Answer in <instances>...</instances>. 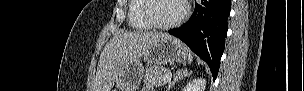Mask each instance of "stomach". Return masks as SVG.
Returning a JSON list of instances; mask_svg holds the SVG:
<instances>
[{
	"instance_id": "0dacf381",
	"label": "stomach",
	"mask_w": 304,
	"mask_h": 91,
	"mask_svg": "<svg viewBox=\"0 0 304 91\" xmlns=\"http://www.w3.org/2000/svg\"><path fill=\"white\" fill-rule=\"evenodd\" d=\"M189 55L187 47L177 38L169 36L155 42L144 55V59L153 65L169 62H185ZM144 68L140 60L130 62L118 75L116 85L119 91H136L141 83Z\"/></svg>"
}]
</instances>
